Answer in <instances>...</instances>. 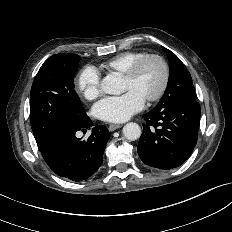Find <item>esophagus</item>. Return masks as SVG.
<instances>
[{
  "mask_svg": "<svg viewBox=\"0 0 232 232\" xmlns=\"http://www.w3.org/2000/svg\"><path fill=\"white\" fill-rule=\"evenodd\" d=\"M121 127V125L120 124H110L109 125V131H115L116 129H118V128H120Z\"/></svg>",
  "mask_w": 232,
  "mask_h": 232,
  "instance_id": "1",
  "label": "esophagus"
}]
</instances>
